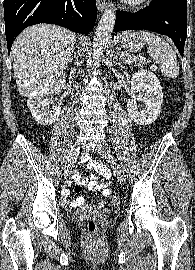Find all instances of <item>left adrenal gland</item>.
Segmentation results:
<instances>
[{"label":"left adrenal gland","instance_id":"a2214340","mask_svg":"<svg viewBox=\"0 0 195 270\" xmlns=\"http://www.w3.org/2000/svg\"><path fill=\"white\" fill-rule=\"evenodd\" d=\"M113 61H114V63H117V61H118V54L117 53L114 55ZM121 64H122L121 61H119L118 65L121 66Z\"/></svg>","mask_w":195,"mask_h":270}]
</instances>
